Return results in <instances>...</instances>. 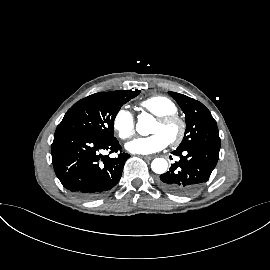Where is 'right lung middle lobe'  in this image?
<instances>
[{
  "instance_id": "obj_1",
  "label": "right lung middle lobe",
  "mask_w": 270,
  "mask_h": 270,
  "mask_svg": "<svg viewBox=\"0 0 270 270\" xmlns=\"http://www.w3.org/2000/svg\"><path fill=\"white\" fill-rule=\"evenodd\" d=\"M140 90L99 92L81 99L65 114L56 132H81L104 141L114 137V119L121 106Z\"/></svg>"
}]
</instances>
